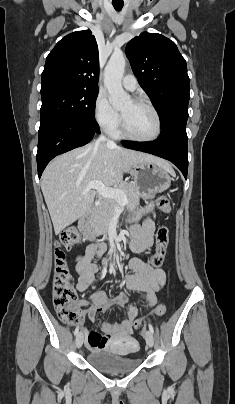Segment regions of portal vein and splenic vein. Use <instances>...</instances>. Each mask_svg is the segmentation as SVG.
<instances>
[{
    "label": "portal vein and splenic vein",
    "instance_id": "portal-vein-and-splenic-vein-1",
    "mask_svg": "<svg viewBox=\"0 0 235 404\" xmlns=\"http://www.w3.org/2000/svg\"><path fill=\"white\" fill-rule=\"evenodd\" d=\"M88 187L92 189H96L97 192L105 198H112L116 199L118 202H120L122 205H125L128 203L127 196L123 191L117 188H110L106 187L102 182L100 181H90L88 183Z\"/></svg>",
    "mask_w": 235,
    "mask_h": 404
}]
</instances>
